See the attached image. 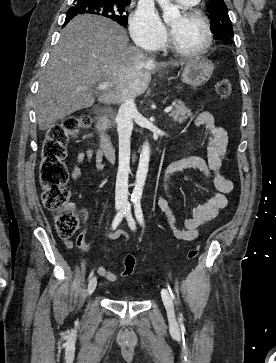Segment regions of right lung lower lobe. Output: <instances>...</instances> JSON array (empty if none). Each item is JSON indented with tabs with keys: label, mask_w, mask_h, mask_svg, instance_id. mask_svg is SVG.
Masks as SVG:
<instances>
[{
	"label": "right lung lower lobe",
	"mask_w": 276,
	"mask_h": 363,
	"mask_svg": "<svg viewBox=\"0 0 276 363\" xmlns=\"http://www.w3.org/2000/svg\"><path fill=\"white\" fill-rule=\"evenodd\" d=\"M72 18L73 17L66 16L64 25H66Z\"/></svg>",
	"instance_id": "98d812e1"
}]
</instances>
